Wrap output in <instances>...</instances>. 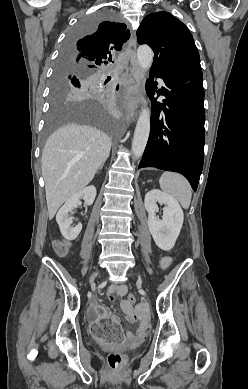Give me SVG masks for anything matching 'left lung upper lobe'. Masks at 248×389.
Returning a JSON list of instances; mask_svg holds the SVG:
<instances>
[{
  "mask_svg": "<svg viewBox=\"0 0 248 389\" xmlns=\"http://www.w3.org/2000/svg\"><path fill=\"white\" fill-rule=\"evenodd\" d=\"M139 44L154 51L152 69L168 73L201 69L200 57L189 29L168 12L147 15L137 30Z\"/></svg>",
  "mask_w": 248,
  "mask_h": 389,
  "instance_id": "5c2ea615",
  "label": "left lung upper lobe"
}]
</instances>
